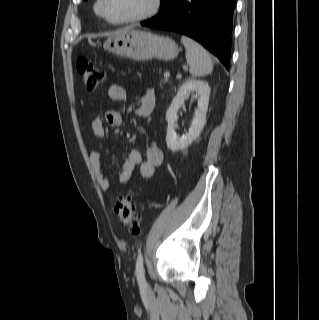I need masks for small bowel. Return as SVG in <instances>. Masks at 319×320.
I'll list each match as a JSON object with an SVG mask.
<instances>
[{"mask_svg": "<svg viewBox=\"0 0 319 320\" xmlns=\"http://www.w3.org/2000/svg\"><path fill=\"white\" fill-rule=\"evenodd\" d=\"M109 99L113 103H121L126 99V90L117 84H113L108 89ZM155 106V93L152 89H147L141 97L140 104L136 109L139 117H149ZM104 122L111 127H120L123 123L122 115L115 109L106 111L104 121L95 118L92 121V132L95 137L104 139L106 130ZM103 154L100 151H93L90 154V163L94 171L96 181L102 190L110 188V180L102 168ZM163 155L158 146L153 142L147 148L145 158L139 150H131L122 163L121 170L117 174L119 184L128 183L133 171L138 167L139 174L143 178H150L154 175L155 169L162 164Z\"/></svg>", "mask_w": 319, "mask_h": 320, "instance_id": "1", "label": "small bowel"}]
</instances>
